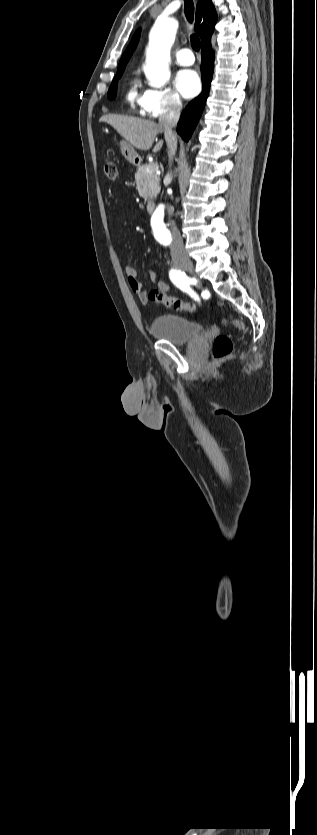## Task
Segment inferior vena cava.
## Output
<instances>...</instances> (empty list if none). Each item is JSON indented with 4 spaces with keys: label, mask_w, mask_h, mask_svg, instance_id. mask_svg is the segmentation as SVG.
<instances>
[{
    "label": "inferior vena cava",
    "mask_w": 317,
    "mask_h": 835,
    "mask_svg": "<svg viewBox=\"0 0 317 835\" xmlns=\"http://www.w3.org/2000/svg\"><path fill=\"white\" fill-rule=\"evenodd\" d=\"M181 109H182V103L178 100H174L167 107L166 111L159 118V125L164 131L165 140H166L167 147H168V156H169V161L170 162L173 160V156L175 155L176 149H177V137H176V134L173 132L172 128L176 127V125L179 121ZM166 179H167L168 183L171 182L172 174L168 173L166 175ZM172 209H173L172 206H169V205L167 206V212H168L169 216L172 213ZM169 224H170L171 233H172V243H171V246H170L171 257H172V260H176L180 257L185 256L183 240L181 238L180 232H179L178 228L176 227L175 223L173 221L169 220Z\"/></svg>",
    "instance_id": "obj_1"
}]
</instances>
